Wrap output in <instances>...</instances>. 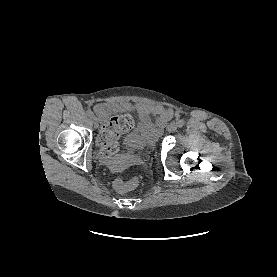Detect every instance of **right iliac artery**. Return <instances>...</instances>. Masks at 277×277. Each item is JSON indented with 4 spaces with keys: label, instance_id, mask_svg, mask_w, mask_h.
Listing matches in <instances>:
<instances>
[{
    "label": "right iliac artery",
    "instance_id": "82829eb1",
    "mask_svg": "<svg viewBox=\"0 0 277 277\" xmlns=\"http://www.w3.org/2000/svg\"><path fill=\"white\" fill-rule=\"evenodd\" d=\"M86 114H87V116L90 117V118L93 117V112H92L91 110H88V111L86 112Z\"/></svg>",
    "mask_w": 277,
    "mask_h": 277
}]
</instances>
